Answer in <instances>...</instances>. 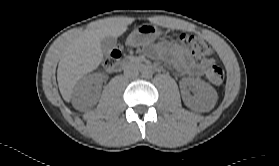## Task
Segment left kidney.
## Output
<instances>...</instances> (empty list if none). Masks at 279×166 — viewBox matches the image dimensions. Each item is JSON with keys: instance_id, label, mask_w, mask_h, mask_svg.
Masks as SVG:
<instances>
[{"instance_id": "5707ae66", "label": "left kidney", "mask_w": 279, "mask_h": 166, "mask_svg": "<svg viewBox=\"0 0 279 166\" xmlns=\"http://www.w3.org/2000/svg\"><path fill=\"white\" fill-rule=\"evenodd\" d=\"M182 83L192 87L195 92L192 96L186 89H182V99L187 107L199 110L208 108L215 103L217 93L210 84L197 78H185Z\"/></svg>"}]
</instances>
